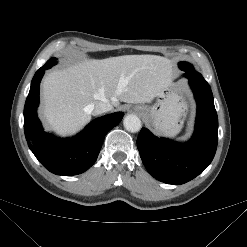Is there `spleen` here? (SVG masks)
<instances>
[{
  "instance_id": "1",
  "label": "spleen",
  "mask_w": 247,
  "mask_h": 247,
  "mask_svg": "<svg viewBox=\"0 0 247 247\" xmlns=\"http://www.w3.org/2000/svg\"><path fill=\"white\" fill-rule=\"evenodd\" d=\"M187 137H188V135H185V136H183V137L178 138V140H186Z\"/></svg>"
}]
</instances>
